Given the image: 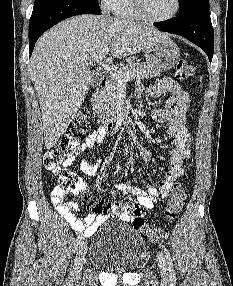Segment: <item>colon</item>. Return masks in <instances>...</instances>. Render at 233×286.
Here are the masks:
<instances>
[{
    "instance_id": "1",
    "label": "colon",
    "mask_w": 233,
    "mask_h": 286,
    "mask_svg": "<svg viewBox=\"0 0 233 286\" xmlns=\"http://www.w3.org/2000/svg\"><path fill=\"white\" fill-rule=\"evenodd\" d=\"M195 67L185 60H179L176 64V76L185 81L193 77ZM90 127V118L86 111L79 112L68 126L55 146L48 150L44 155L45 167L55 173L58 177L60 187L74 193H80L85 190V184L72 171L62 169L61 164L72 157L76 146L83 138ZM185 201V192L180 184H176L172 190L170 200L165 207L164 216L167 220L174 219L182 210ZM127 210L122 209L124 215ZM132 225L137 233L144 239L156 243L163 233L161 230L151 228L142 218V213L136 208L132 212Z\"/></svg>"
}]
</instances>
